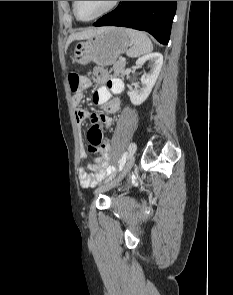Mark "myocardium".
Instances as JSON below:
<instances>
[{"instance_id":"1","label":"myocardium","mask_w":233,"mask_h":295,"mask_svg":"<svg viewBox=\"0 0 233 295\" xmlns=\"http://www.w3.org/2000/svg\"><path fill=\"white\" fill-rule=\"evenodd\" d=\"M120 1H112L110 3V5L104 9L102 12H100L99 14L95 15L94 17H91L89 19H84V18H81L79 15H78V12H77V4H78V1H74L73 2V11H74V14L76 16V18L82 22H90V21H93V20H96L108 13H110L111 11H113L118 5H119Z\"/></svg>"}]
</instances>
